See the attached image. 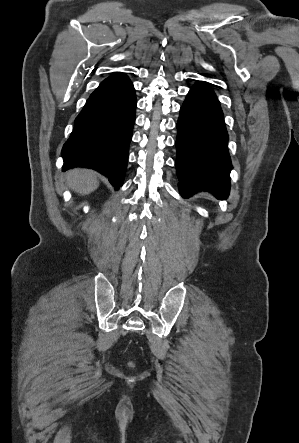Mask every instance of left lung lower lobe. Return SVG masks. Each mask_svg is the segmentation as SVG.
<instances>
[{
	"mask_svg": "<svg viewBox=\"0 0 299 443\" xmlns=\"http://www.w3.org/2000/svg\"><path fill=\"white\" fill-rule=\"evenodd\" d=\"M177 132L176 169L181 195L188 198L209 191L218 199H226L232 169L228 134L217 97L204 82L189 91L180 110Z\"/></svg>",
	"mask_w": 299,
	"mask_h": 443,
	"instance_id": "1",
	"label": "left lung lower lobe"
}]
</instances>
